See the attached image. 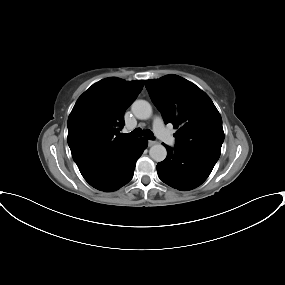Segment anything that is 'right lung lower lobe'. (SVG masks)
I'll list each match as a JSON object with an SVG mask.
<instances>
[{
    "label": "right lung lower lobe",
    "mask_w": 285,
    "mask_h": 285,
    "mask_svg": "<svg viewBox=\"0 0 285 285\" xmlns=\"http://www.w3.org/2000/svg\"><path fill=\"white\" fill-rule=\"evenodd\" d=\"M147 144L145 138L134 139L100 157L80 172L94 188L105 192L115 191L132 179L136 161Z\"/></svg>",
    "instance_id": "right-lung-lower-lobe-1"
}]
</instances>
